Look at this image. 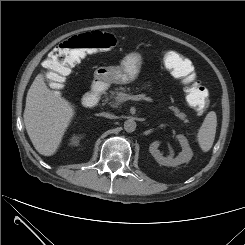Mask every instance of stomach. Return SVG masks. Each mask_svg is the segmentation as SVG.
Instances as JSON below:
<instances>
[{
  "label": "stomach",
  "instance_id": "stomach-1",
  "mask_svg": "<svg viewBox=\"0 0 245 245\" xmlns=\"http://www.w3.org/2000/svg\"><path fill=\"white\" fill-rule=\"evenodd\" d=\"M142 63V55L138 52H131L125 55L120 66L97 68L94 72V79L105 84H127L138 77Z\"/></svg>",
  "mask_w": 245,
  "mask_h": 245
}]
</instances>
